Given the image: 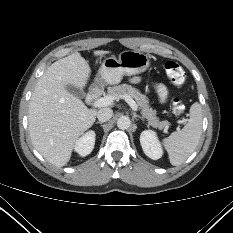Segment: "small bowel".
I'll return each mask as SVG.
<instances>
[{"label": "small bowel", "instance_id": "small-bowel-1", "mask_svg": "<svg viewBox=\"0 0 233 233\" xmlns=\"http://www.w3.org/2000/svg\"><path fill=\"white\" fill-rule=\"evenodd\" d=\"M139 77L135 76L131 79V82L133 83H137L139 82ZM155 88H156V91L158 93V95L160 96L162 102H165L166 99L168 98V89L167 87L164 85V84H161V83H157L155 85Z\"/></svg>", "mask_w": 233, "mask_h": 233}]
</instances>
